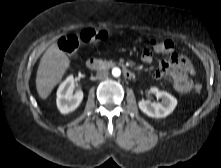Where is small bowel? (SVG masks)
Returning a JSON list of instances; mask_svg holds the SVG:
<instances>
[{"mask_svg":"<svg viewBox=\"0 0 221 168\" xmlns=\"http://www.w3.org/2000/svg\"><path fill=\"white\" fill-rule=\"evenodd\" d=\"M166 42L170 43L171 48L168 52L171 53L173 51V43L169 40ZM143 62L151 63L153 60V53L150 48H146L142 52L141 56ZM192 68L190 62L182 55L178 53H171L167 57V61H163L158 69L154 72V76L157 78L168 75L174 84V89L179 93H187L192 87V80L188 77L187 73L191 72Z\"/></svg>","mask_w":221,"mask_h":168,"instance_id":"1","label":"small bowel"}]
</instances>
